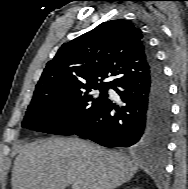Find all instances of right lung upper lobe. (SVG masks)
<instances>
[{
  "instance_id": "1",
  "label": "right lung upper lobe",
  "mask_w": 188,
  "mask_h": 189,
  "mask_svg": "<svg viewBox=\"0 0 188 189\" xmlns=\"http://www.w3.org/2000/svg\"><path fill=\"white\" fill-rule=\"evenodd\" d=\"M148 51L142 31L132 23L121 19L103 22L60 47L47 63L34 95L89 87L114 88L148 73ZM109 76L114 79L102 82Z\"/></svg>"
}]
</instances>
